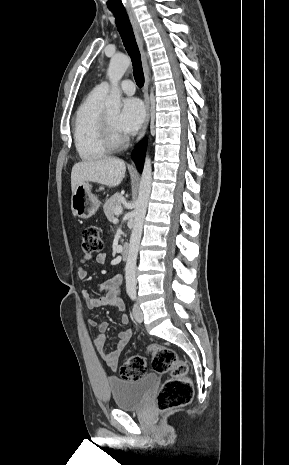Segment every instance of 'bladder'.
<instances>
[{"label":"bladder","mask_w":289,"mask_h":465,"mask_svg":"<svg viewBox=\"0 0 289 465\" xmlns=\"http://www.w3.org/2000/svg\"><path fill=\"white\" fill-rule=\"evenodd\" d=\"M158 378L149 374L138 380L110 378L109 389L116 408L120 410H137L143 407Z\"/></svg>","instance_id":"1"}]
</instances>
